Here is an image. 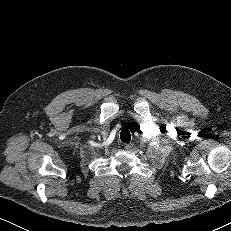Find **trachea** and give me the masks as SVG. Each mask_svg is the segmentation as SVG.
<instances>
[{
    "label": "trachea",
    "instance_id": "obj_1",
    "mask_svg": "<svg viewBox=\"0 0 231 231\" xmlns=\"http://www.w3.org/2000/svg\"><path fill=\"white\" fill-rule=\"evenodd\" d=\"M120 139L122 142H130L131 140V134L127 129H123L120 133Z\"/></svg>",
    "mask_w": 231,
    "mask_h": 231
}]
</instances>
